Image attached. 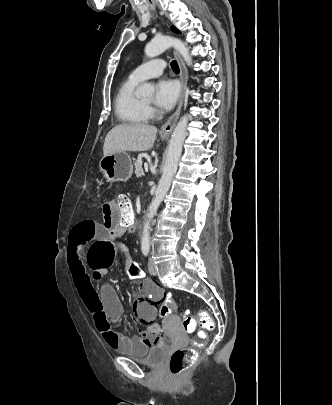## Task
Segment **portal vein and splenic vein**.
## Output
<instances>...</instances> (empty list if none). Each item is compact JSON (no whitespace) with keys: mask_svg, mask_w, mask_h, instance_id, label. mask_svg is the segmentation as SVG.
Wrapping results in <instances>:
<instances>
[{"mask_svg":"<svg viewBox=\"0 0 332 405\" xmlns=\"http://www.w3.org/2000/svg\"><path fill=\"white\" fill-rule=\"evenodd\" d=\"M145 169H146V170L148 169V165H145Z\"/></svg>","mask_w":332,"mask_h":405,"instance_id":"obj_1","label":"portal vein and splenic vein"}]
</instances>
